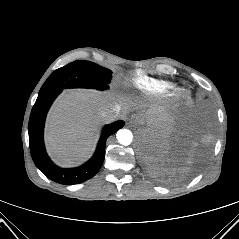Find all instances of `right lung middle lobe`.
Segmentation results:
<instances>
[{"instance_id": "1", "label": "right lung middle lobe", "mask_w": 239, "mask_h": 239, "mask_svg": "<svg viewBox=\"0 0 239 239\" xmlns=\"http://www.w3.org/2000/svg\"><path fill=\"white\" fill-rule=\"evenodd\" d=\"M111 70L90 61L77 60L55 70L43 84L39 95L65 88L106 89Z\"/></svg>"}]
</instances>
